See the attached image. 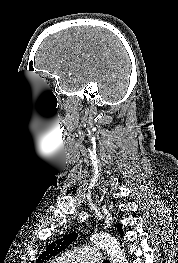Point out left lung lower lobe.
I'll return each instance as SVG.
<instances>
[{"instance_id": "left-lung-lower-lobe-1", "label": "left lung lower lobe", "mask_w": 178, "mask_h": 263, "mask_svg": "<svg viewBox=\"0 0 178 263\" xmlns=\"http://www.w3.org/2000/svg\"><path fill=\"white\" fill-rule=\"evenodd\" d=\"M119 233H120L121 235H123V230H121Z\"/></svg>"}]
</instances>
